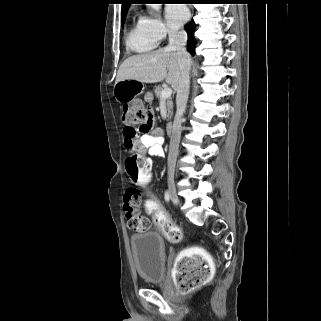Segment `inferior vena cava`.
I'll list each match as a JSON object with an SVG mask.
<instances>
[{"label":"inferior vena cava","mask_w":321,"mask_h":321,"mask_svg":"<svg viewBox=\"0 0 321 321\" xmlns=\"http://www.w3.org/2000/svg\"><path fill=\"white\" fill-rule=\"evenodd\" d=\"M169 45L168 48L175 50L180 58V71L181 76L176 88V114L173 122L172 134L170 137V146L168 154V174L174 175L176 159L178 155L183 114L186 109L188 101L189 87H190V67L191 59L189 53L186 51L187 33L185 31H172L168 32Z\"/></svg>","instance_id":"1"}]
</instances>
